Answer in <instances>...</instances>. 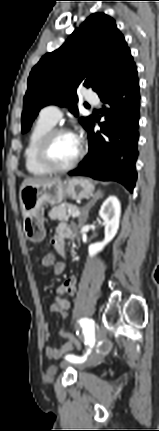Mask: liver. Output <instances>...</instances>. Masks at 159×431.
Wrapping results in <instances>:
<instances>
[{
    "mask_svg": "<svg viewBox=\"0 0 159 431\" xmlns=\"http://www.w3.org/2000/svg\"><path fill=\"white\" fill-rule=\"evenodd\" d=\"M57 179H59V178H44V177H34V178H32V177H29V178H26L23 181V183L21 185V188L24 187V186H26V185H29V184L30 185H41V184H45V183H48V182L55 181ZM22 214H23V211H22Z\"/></svg>",
    "mask_w": 159,
    "mask_h": 431,
    "instance_id": "obj_1",
    "label": "liver"
}]
</instances>
